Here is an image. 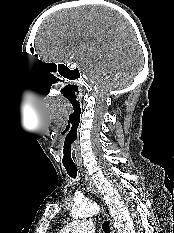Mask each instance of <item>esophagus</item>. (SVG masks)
<instances>
[{
  "label": "esophagus",
  "mask_w": 174,
  "mask_h": 233,
  "mask_svg": "<svg viewBox=\"0 0 174 233\" xmlns=\"http://www.w3.org/2000/svg\"><path fill=\"white\" fill-rule=\"evenodd\" d=\"M80 172H81V174L84 176L85 181L88 183V185H89L90 189L92 190V192H93L95 195H97L98 198L101 199L103 215H104V217H105V218L109 221V223H110V232H111V233H115V229H114V226H113L112 219H111V217L109 216V214L106 212L105 203H104V201H103V198H102V196H101L100 191L97 189V187H96L94 181L89 177V175H87V173H86L84 170L80 169Z\"/></svg>",
  "instance_id": "1"
}]
</instances>
